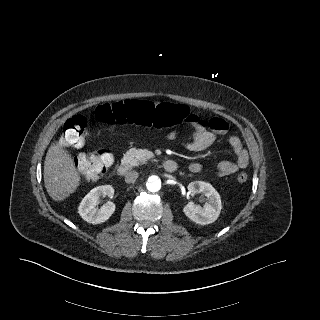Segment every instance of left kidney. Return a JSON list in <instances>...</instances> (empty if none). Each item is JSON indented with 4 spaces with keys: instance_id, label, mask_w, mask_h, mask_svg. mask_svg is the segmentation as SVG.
Instances as JSON below:
<instances>
[{
    "instance_id": "left-kidney-1",
    "label": "left kidney",
    "mask_w": 320,
    "mask_h": 320,
    "mask_svg": "<svg viewBox=\"0 0 320 320\" xmlns=\"http://www.w3.org/2000/svg\"><path fill=\"white\" fill-rule=\"evenodd\" d=\"M190 193H201L207 197V202L203 205H197L189 202L184 208V214L193 222L200 225L213 223L219 217L222 209L221 198L215 188L204 181H194L189 183Z\"/></svg>"
}]
</instances>
